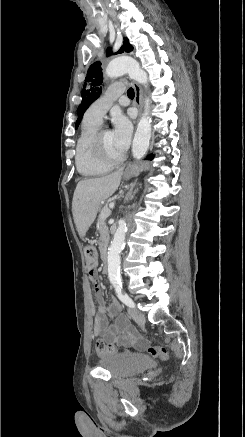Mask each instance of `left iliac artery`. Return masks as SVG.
I'll return each instance as SVG.
<instances>
[{
  "label": "left iliac artery",
  "instance_id": "left-iliac-artery-1",
  "mask_svg": "<svg viewBox=\"0 0 245 437\" xmlns=\"http://www.w3.org/2000/svg\"><path fill=\"white\" fill-rule=\"evenodd\" d=\"M113 286L115 288L118 298L128 307L134 308L135 304L132 299L123 291L121 282H114Z\"/></svg>",
  "mask_w": 245,
  "mask_h": 437
}]
</instances>
